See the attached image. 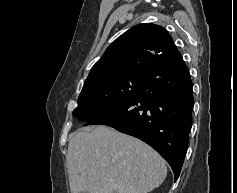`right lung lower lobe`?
I'll return each mask as SVG.
<instances>
[{"instance_id":"98d812e1","label":"right lung lower lobe","mask_w":237,"mask_h":193,"mask_svg":"<svg viewBox=\"0 0 237 193\" xmlns=\"http://www.w3.org/2000/svg\"><path fill=\"white\" fill-rule=\"evenodd\" d=\"M193 84L179 51L161 58L124 105L85 125L102 124L153 147L178 179L192 124Z\"/></svg>"}]
</instances>
